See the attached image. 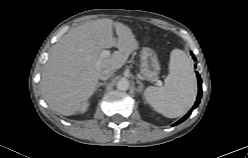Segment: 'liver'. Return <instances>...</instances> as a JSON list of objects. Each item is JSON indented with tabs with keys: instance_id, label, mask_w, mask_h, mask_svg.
<instances>
[{
	"instance_id": "1",
	"label": "liver",
	"mask_w": 248,
	"mask_h": 158,
	"mask_svg": "<svg viewBox=\"0 0 248 158\" xmlns=\"http://www.w3.org/2000/svg\"><path fill=\"white\" fill-rule=\"evenodd\" d=\"M138 46L128 26L108 18L73 28L54 46L46 63L40 82L44 99L59 114L76 113L94 94L101 71L120 69ZM111 47L118 51L101 56L103 49Z\"/></svg>"
}]
</instances>
